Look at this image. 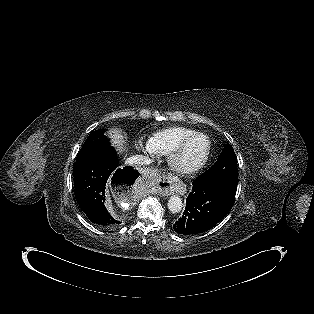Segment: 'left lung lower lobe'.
Returning a JSON list of instances; mask_svg holds the SVG:
<instances>
[{"mask_svg":"<svg viewBox=\"0 0 314 314\" xmlns=\"http://www.w3.org/2000/svg\"><path fill=\"white\" fill-rule=\"evenodd\" d=\"M238 178L198 177L186 199L183 216L173 225L180 235H192L214 227L231 210Z\"/></svg>","mask_w":314,"mask_h":314,"instance_id":"0a47b994","label":"left lung lower lobe"}]
</instances>
